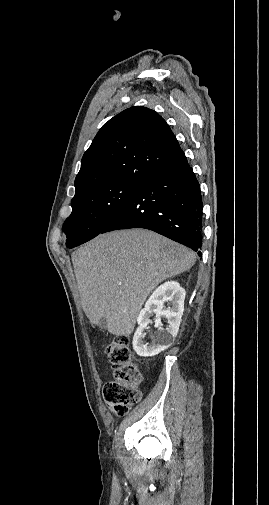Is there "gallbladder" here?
<instances>
[{"mask_svg":"<svg viewBox=\"0 0 269 505\" xmlns=\"http://www.w3.org/2000/svg\"><path fill=\"white\" fill-rule=\"evenodd\" d=\"M99 327L101 329H105L106 328V320L104 318L101 319Z\"/></svg>","mask_w":269,"mask_h":505,"instance_id":"obj_1","label":"gallbladder"}]
</instances>
